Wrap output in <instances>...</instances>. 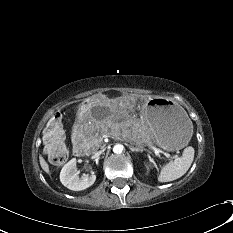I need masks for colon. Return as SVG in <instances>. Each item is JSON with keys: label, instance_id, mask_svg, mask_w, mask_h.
Here are the masks:
<instances>
[{"label": "colon", "instance_id": "obj_1", "mask_svg": "<svg viewBox=\"0 0 233 233\" xmlns=\"http://www.w3.org/2000/svg\"><path fill=\"white\" fill-rule=\"evenodd\" d=\"M44 150L54 165H61L67 160L68 150L64 141L62 121L58 114H55L46 126Z\"/></svg>", "mask_w": 233, "mask_h": 233}]
</instances>
